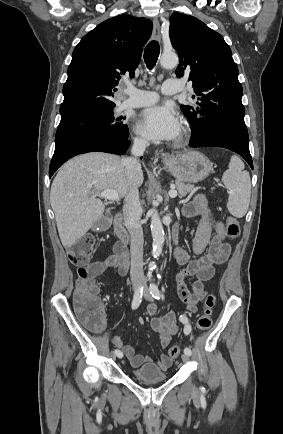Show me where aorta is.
<instances>
[{"mask_svg": "<svg viewBox=\"0 0 283 434\" xmlns=\"http://www.w3.org/2000/svg\"><path fill=\"white\" fill-rule=\"evenodd\" d=\"M179 59L178 56L174 53L163 54L160 59V64L164 68H174L178 65ZM151 215V233L153 237V250L152 254L156 258L158 257L163 248V244L165 241L164 238V230L163 225L160 220L159 214L155 208L149 210ZM155 267L154 263L149 265V268L152 270Z\"/></svg>", "mask_w": 283, "mask_h": 434, "instance_id": "762f6f07", "label": "aorta"}]
</instances>
